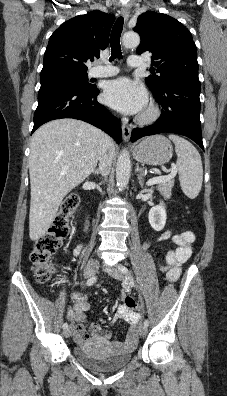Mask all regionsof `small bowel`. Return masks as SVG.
I'll return each instance as SVG.
<instances>
[{
    "label": "small bowel",
    "instance_id": "c3829d8e",
    "mask_svg": "<svg viewBox=\"0 0 227 396\" xmlns=\"http://www.w3.org/2000/svg\"><path fill=\"white\" fill-rule=\"evenodd\" d=\"M169 238L173 240L176 247L167 253L166 264L162 267V270L166 272V280L176 281L181 274L182 264H184L192 254V244L195 240V236L191 231L173 234L168 230L162 233L158 237V240H167ZM148 244L149 242H145L144 247H147ZM75 253L78 254L79 249H76ZM129 290L130 284H127L126 291L129 292ZM71 297L74 301V306L69 311V317L77 322L74 329V339L77 343L83 344L85 342H93L101 345H110L115 349H127L136 345L138 340L137 325L141 316L137 309L131 308L125 304V300L131 298L129 295H122L123 303L118 306L115 315L116 319H122L131 325L124 342L113 341L112 332L103 329L98 324L93 323L86 327L87 320L85 312L90 308L87 297L80 292H74Z\"/></svg>",
    "mask_w": 227,
    "mask_h": 396
}]
</instances>
